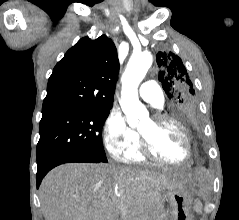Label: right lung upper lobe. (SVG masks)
<instances>
[{
    "label": "right lung upper lobe",
    "mask_w": 239,
    "mask_h": 220,
    "mask_svg": "<svg viewBox=\"0 0 239 220\" xmlns=\"http://www.w3.org/2000/svg\"><path fill=\"white\" fill-rule=\"evenodd\" d=\"M118 71L116 47L107 36L80 39L54 67L42 114L111 109Z\"/></svg>",
    "instance_id": "cb5924a9"
}]
</instances>
